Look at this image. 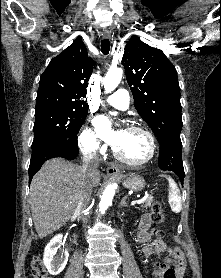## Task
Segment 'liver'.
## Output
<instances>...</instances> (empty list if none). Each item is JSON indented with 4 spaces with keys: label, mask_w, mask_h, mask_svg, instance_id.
Returning <instances> with one entry per match:
<instances>
[{
    "label": "liver",
    "mask_w": 221,
    "mask_h": 278,
    "mask_svg": "<svg viewBox=\"0 0 221 278\" xmlns=\"http://www.w3.org/2000/svg\"><path fill=\"white\" fill-rule=\"evenodd\" d=\"M85 173L77 164L54 158L46 161L30 185V206L36 232L40 238L57 231L73 215ZM100 174L92 180L95 187Z\"/></svg>",
    "instance_id": "obj_1"
}]
</instances>
